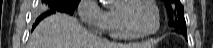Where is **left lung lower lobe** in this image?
Segmentation results:
<instances>
[{
    "mask_svg": "<svg viewBox=\"0 0 213 48\" xmlns=\"http://www.w3.org/2000/svg\"><path fill=\"white\" fill-rule=\"evenodd\" d=\"M184 33V36L186 37V32H183Z\"/></svg>",
    "mask_w": 213,
    "mask_h": 48,
    "instance_id": "1",
    "label": "left lung lower lobe"
}]
</instances>
